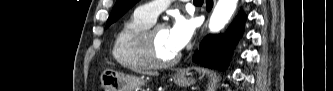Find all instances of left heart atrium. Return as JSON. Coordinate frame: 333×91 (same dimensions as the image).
Here are the masks:
<instances>
[{"instance_id":"39dd6f15","label":"left heart atrium","mask_w":333,"mask_h":91,"mask_svg":"<svg viewBox=\"0 0 333 91\" xmlns=\"http://www.w3.org/2000/svg\"><path fill=\"white\" fill-rule=\"evenodd\" d=\"M195 30V24L192 19L177 17L168 29L169 40L173 49L180 52L191 40Z\"/></svg>"}]
</instances>
